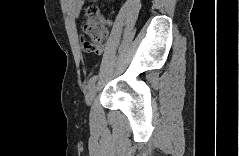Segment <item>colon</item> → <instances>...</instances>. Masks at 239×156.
I'll return each instance as SVG.
<instances>
[{
  "instance_id": "5ec220e1",
  "label": "colon",
  "mask_w": 239,
  "mask_h": 156,
  "mask_svg": "<svg viewBox=\"0 0 239 156\" xmlns=\"http://www.w3.org/2000/svg\"><path fill=\"white\" fill-rule=\"evenodd\" d=\"M82 31L91 38V41L85 40L84 50L90 53L94 52L106 37V30L97 7L89 6L85 9Z\"/></svg>"
}]
</instances>
